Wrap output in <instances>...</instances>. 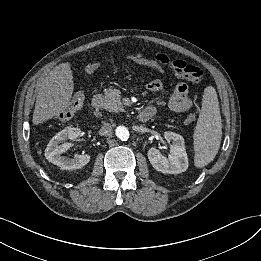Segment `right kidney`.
Returning a JSON list of instances; mask_svg holds the SVG:
<instances>
[{"label":"right kidney","mask_w":261,"mask_h":261,"mask_svg":"<svg viewBox=\"0 0 261 261\" xmlns=\"http://www.w3.org/2000/svg\"><path fill=\"white\" fill-rule=\"evenodd\" d=\"M80 135L81 130L79 128H66L58 132L50 140L45 149L46 159L63 170H74L84 167L90 161V155L76 154L72 159L65 158L61 156V154L66 152L71 147V143L59 145L61 141H65L67 139L76 140L80 137Z\"/></svg>","instance_id":"obj_1"}]
</instances>
